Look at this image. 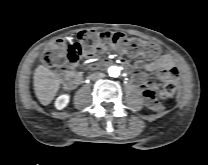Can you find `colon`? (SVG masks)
<instances>
[{
  "label": "colon",
  "mask_w": 208,
  "mask_h": 165,
  "mask_svg": "<svg viewBox=\"0 0 208 165\" xmlns=\"http://www.w3.org/2000/svg\"><path fill=\"white\" fill-rule=\"evenodd\" d=\"M112 44L116 49L129 56L147 55L155 56L158 47L149 42L128 37L122 33L110 31L87 30L78 34L77 41L67 44L64 40L58 39L52 42L43 52L42 61L49 67H57L66 61L77 62L80 59L92 58ZM175 92V85L168 83L161 90L162 98H170ZM155 108H159L155 102Z\"/></svg>",
  "instance_id": "obj_1"
}]
</instances>
